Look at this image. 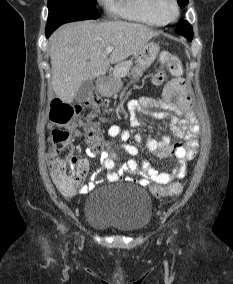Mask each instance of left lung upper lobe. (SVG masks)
Listing matches in <instances>:
<instances>
[{
	"mask_svg": "<svg viewBox=\"0 0 233 284\" xmlns=\"http://www.w3.org/2000/svg\"><path fill=\"white\" fill-rule=\"evenodd\" d=\"M180 7H185L188 4V0H177ZM176 32L184 37H186L189 41L193 38V30L191 25L185 21L180 20L177 25Z\"/></svg>",
	"mask_w": 233,
	"mask_h": 284,
	"instance_id": "5c2ea615",
	"label": "left lung upper lobe"
}]
</instances>
